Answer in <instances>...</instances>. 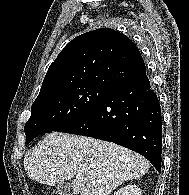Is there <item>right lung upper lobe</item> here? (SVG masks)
Here are the masks:
<instances>
[{"mask_svg":"<svg viewBox=\"0 0 189 195\" xmlns=\"http://www.w3.org/2000/svg\"><path fill=\"white\" fill-rule=\"evenodd\" d=\"M146 73L139 49L125 35L100 28L74 38L50 65L40 93L96 87L112 90Z\"/></svg>","mask_w":189,"mask_h":195,"instance_id":"obj_1","label":"right lung upper lobe"}]
</instances>
